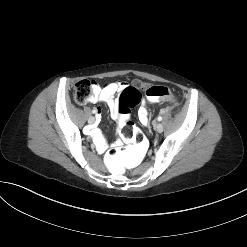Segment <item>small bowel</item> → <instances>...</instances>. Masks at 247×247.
Wrapping results in <instances>:
<instances>
[{
	"label": "small bowel",
	"mask_w": 247,
	"mask_h": 247,
	"mask_svg": "<svg viewBox=\"0 0 247 247\" xmlns=\"http://www.w3.org/2000/svg\"><path fill=\"white\" fill-rule=\"evenodd\" d=\"M126 87L127 83L123 81L111 82L105 86H100L93 82L92 95L88 101L91 103H105L111 111V116L116 119L120 115L118 111V100L116 99V95L122 92ZM138 119L143 125L148 123V111L146 109L145 101H142V105L138 110ZM90 134L94 138L99 152H104L107 148V144L102 134L94 128L90 130ZM120 144L121 143L119 141L116 142L117 146Z\"/></svg>",
	"instance_id": "1"
}]
</instances>
